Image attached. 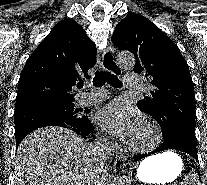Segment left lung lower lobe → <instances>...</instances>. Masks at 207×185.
<instances>
[{
    "label": "left lung lower lobe",
    "instance_id": "1",
    "mask_svg": "<svg viewBox=\"0 0 207 185\" xmlns=\"http://www.w3.org/2000/svg\"><path fill=\"white\" fill-rule=\"evenodd\" d=\"M169 149L183 151L191 155L192 157H194L196 160H198L196 146L190 143L188 139L185 138L183 135L176 133V134H173L170 138L164 139L163 143H161L155 150L149 153H146V154L135 155L134 161H138L151 154L164 151V150H169Z\"/></svg>",
    "mask_w": 207,
    "mask_h": 185
}]
</instances>
